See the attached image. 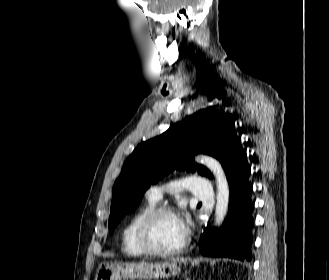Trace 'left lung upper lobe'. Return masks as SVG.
<instances>
[{"instance_id": "obj_1", "label": "left lung upper lobe", "mask_w": 329, "mask_h": 280, "mask_svg": "<svg viewBox=\"0 0 329 280\" xmlns=\"http://www.w3.org/2000/svg\"><path fill=\"white\" fill-rule=\"evenodd\" d=\"M243 151L234 120L212 108L199 110L172 125L160 136L138 145L114 183L110 232L114 231L126 212L138 208L150 184L158 182L173 169H196L200 174L211 177L205 167L191 164V154L214 156L221 162L228 177L240 166Z\"/></svg>"}]
</instances>
